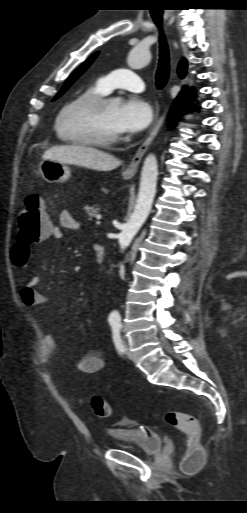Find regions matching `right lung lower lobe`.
Instances as JSON below:
<instances>
[{"label":"right lung lower lobe","mask_w":247,"mask_h":513,"mask_svg":"<svg viewBox=\"0 0 247 513\" xmlns=\"http://www.w3.org/2000/svg\"><path fill=\"white\" fill-rule=\"evenodd\" d=\"M193 92L188 91L183 94H181L175 101L171 117L173 118L175 114H181L182 112L190 109L191 106V100L193 99Z\"/></svg>","instance_id":"98d812e1"}]
</instances>
